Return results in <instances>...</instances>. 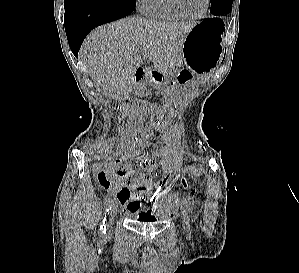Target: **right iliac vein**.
<instances>
[{
	"instance_id": "right-iliac-vein-1",
	"label": "right iliac vein",
	"mask_w": 299,
	"mask_h": 273,
	"mask_svg": "<svg viewBox=\"0 0 299 273\" xmlns=\"http://www.w3.org/2000/svg\"><path fill=\"white\" fill-rule=\"evenodd\" d=\"M117 211H118V208L115 204H113L111 206V209L109 210V226L112 225L113 221H114V218L117 214Z\"/></svg>"
}]
</instances>
